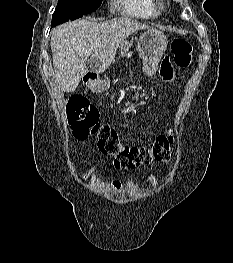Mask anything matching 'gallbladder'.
<instances>
[{"label":"gallbladder","instance_id":"gallbladder-1","mask_svg":"<svg viewBox=\"0 0 233 263\" xmlns=\"http://www.w3.org/2000/svg\"><path fill=\"white\" fill-rule=\"evenodd\" d=\"M89 66H90V68H91V62L89 63Z\"/></svg>","mask_w":233,"mask_h":263}]
</instances>
